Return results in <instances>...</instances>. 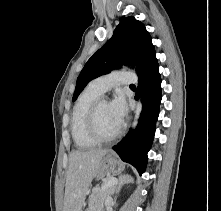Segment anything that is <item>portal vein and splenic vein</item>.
Wrapping results in <instances>:
<instances>
[{
	"mask_svg": "<svg viewBox=\"0 0 221 211\" xmlns=\"http://www.w3.org/2000/svg\"><path fill=\"white\" fill-rule=\"evenodd\" d=\"M118 182V180L116 178H110L106 183L105 185L102 187V190H105L107 187L109 186H114L116 185Z\"/></svg>",
	"mask_w": 221,
	"mask_h": 211,
	"instance_id": "1",
	"label": "portal vein and splenic vein"
}]
</instances>
